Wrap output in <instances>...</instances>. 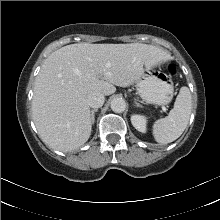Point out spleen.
Instances as JSON below:
<instances>
[{
  "label": "spleen",
  "mask_w": 220,
  "mask_h": 220,
  "mask_svg": "<svg viewBox=\"0 0 220 220\" xmlns=\"http://www.w3.org/2000/svg\"><path fill=\"white\" fill-rule=\"evenodd\" d=\"M192 109V96L188 87H181L174 107L165 118L158 119L152 126L155 140L167 144L178 139L189 122Z\"/></svg>",
  "instance_id": "spleen-1"
}]
</instances>
